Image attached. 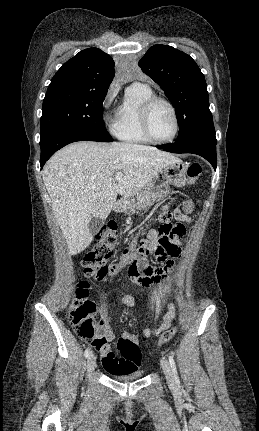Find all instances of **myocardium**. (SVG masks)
Returning a JSON list of instances; mask_svg holds the SVG:
<instances>
[{"mask_svg":"<svg viewBox=\"0 0 259 431\" xmlns=\"http://www.w3.org/2000/svg\"><path fill=\"white\" fill-rule=\"evenodd\" d=\"M157 103H164L165 105H167L168 108L170 109L172 116H173V119H174L173 134L171 135V137H169L168 139H164V140L157 139L152 134V131H151V124H150L151 112H152L153 107ZM140 121H141L142 130H143L145 136L151 142L156 143V144L170 143V142L175 140V138L177 137V135L179 133L180 125H179V118H178L176 108L172 104L171 101H169L168 99H166L165 97H162V96L153 95L152 97H150L149 99H147L143 103V105L141 106V110H140Z\"/></svg>","mask_w":259,"mask_h":431,"instance_id":"1","label":"myocardium"}]
</instances>
